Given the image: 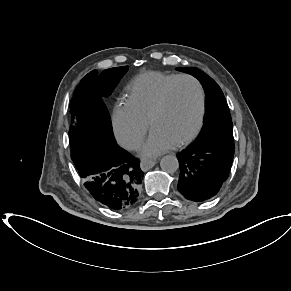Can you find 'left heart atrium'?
<instances>
[{
  "label": "left heart atrium",
  "mask_w": 291,
  "mask_h": 291,
  "mask_svg": "<svg viewBox=\"0 0 291 291\" xmlns=\"http://www.w3.org/2000/svg\"><path fill=\"white\" fill-rule=\"evenodd\" d=\"M175 147V143L158 131L152 130L148 140L141 149V156L146 159L155 158Z\"/></svg>",
  "instance_id": "left-heart-atrium-1"
}]
</instances>
